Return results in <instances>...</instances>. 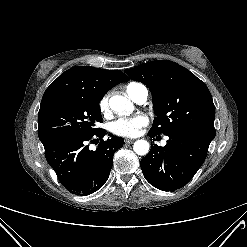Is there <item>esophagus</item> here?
I'll use <instances>...</instances> for the list:
<instances>
[{
  "label": "esophagus",
  "mask_w": 247,
  "mask_h": 247,
  "mask_svg": "<svg viewBox=\"0 0 247 247\" xmlns=\"http://www.w3.org/2000/svg\"><path fill=\"white\" fill-rule=\"evenodd\" d=\"M124 141H125L126 144H131V143L134 142V139H127L126 138Z\"/></svg>",
  "instance_id": "34e87169"
}]
</instances>
